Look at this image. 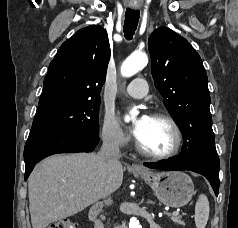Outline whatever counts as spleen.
Wrapping results in <instances>:
<instances>
[{
  "instance_id": "3e777b00",
  "label": "spleen",
  "mask_w": 238,
  "mask_h": 228,
  "mask_svg": "<svg viewBox=\"0 0 238 228\" xmlns=\"http://www.w3.org/2000/svg\"><path fill=\"white\" fill-rule=\"evenodd\" d=\"M209 201L206 195L201 194L195 204V225L197 228H205L209 218Z\"/></svg>"
}]
</instances>
